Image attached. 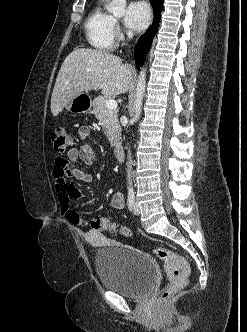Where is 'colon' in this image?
<instances>
[{
  "mask_svg": "<svg viewBox=\"0 0 247 332\" xmlns=\"http://www.w3.org/2000/svg\"><path fill=\"white\" fill-rule=\"evenodd\" d=\"M52 141L55 151L60 154L68 152L74 145L73 137L63 127H56L53 130ZM91 227L95 231H119L124 236L131 235V231L127 227H118L115 222L109 218H96L91 222ZM152 251L164 262V268L169 280V286L159 297L160 302H166L186 287L190 267L188 262L182 256H179L166 248L152 246Z\"/></svg>",
  "mask_w": 247,
  "mask_h": 332,
  "instance_id": "colon-1",
  "label": "colon"
}]
</instances>
